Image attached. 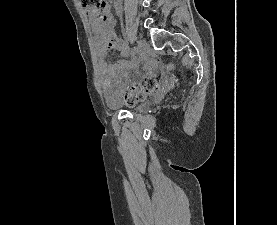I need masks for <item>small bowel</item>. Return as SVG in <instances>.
<instances>
[{
    "instance_id": "1",
    "label": "small bowel",
    "mask_w": 277,
    "mask_h": 225,
    "mask_svg": "<svg viewBox=\"0 0 277 225\" xmlns=\"http://www.w3.org/2000/svg\"><path fill=\"white\" fill-rule=\"evenodd\" d=\"M96 13V11L90 10L88 14L94 33V45L99 57V80L106 95H110L112 86L120 89L126 84L133 82L139 76V73L136 71L135 65L128 60L118 59L112 62L105 60L107 46L117 49L122 57H128L130 51L124 42L116 36L114 32L116 19L111 15L108 8L104 15L100 16L96 15ZM161 80L163 86L166 87L171 82V77L163 74Z\"/></svg>"
}]
</instances>
